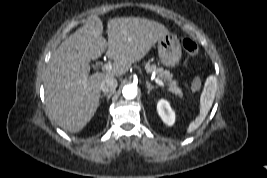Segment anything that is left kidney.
<instances>
[{"instance_id":"5707ae66","label":"left kidney","mask_w":267,"mask_h":178,"mask_svg":"<svg viewBox=\"0 0 267 178\" xmlns=\"http://www.w3.org/2000/svg\"><path fill=\"white\" fill-rule=\"evenodd\" d=\"M157 111L164 123H166L169 126H172L174 124L175 113L172 110L170 103L167 100L161 99L158 101Z\"/></svg>"}]
</instances>
